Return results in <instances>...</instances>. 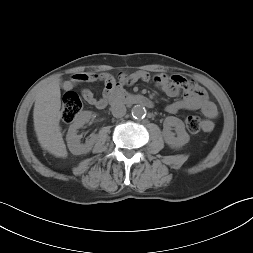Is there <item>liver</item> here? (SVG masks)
Returning <instances> with one entry per match:
<instances>
[{"label": "liver", "mask_w": 253, "mask_h": 253, "mask_svg": "<svg viewBox=\"0 0 253 253\" xmlns=\"http://www.w3.org/2000/svg\"><path fill=\"white\" fill-rule=\"evenodd\" d=\"M60 82V78L54 79L38 90L33 119L40 146L56 157L66 158L68 153L59 125L61 119Z\"/></svg>", "instance_id": "obj_1"}]
</instances>
